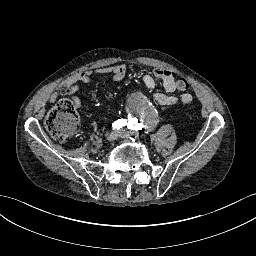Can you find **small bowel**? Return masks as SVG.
I'll use <instances>...</instances> for the list:
<instances>
[{
	"label": "small bowel",
	"instance_id": "small-bowel-1",
	"mask_svg": "<svg viewBox=\"0 0 256 256\" xmlns=\"http://www.w3.org/2000/svg\"><path fill=\"white\" fill-rule=\"evenodd\" d=\"M110 75L114 82H121L126 76V66L116 65L111 67L98 68L95 71H85L77 73L71 76L64 84V92L71 96L73 105L76 108L81 107V100L75 93L78 90L79 83H90L92 81L93 75ZM142 80L146 87L152 89L156 86V81H161L165 91L157 92L154 96L155 101L162 106H170L177 102L178 98L171 93L175 91L183 92L180 96V100L184 104H189L193 97L192 94L187 92V89H182L179 86L181 80H176L171 71L164 68H155L151 73L144 74ZM58 97L57 93H53L50 97V101L54 102ZM77 114H79L80 122H83L82 109H78Z\"/></svg>",
	"mask_w": 256,
	"mask_h": 256
}]
</instances>
